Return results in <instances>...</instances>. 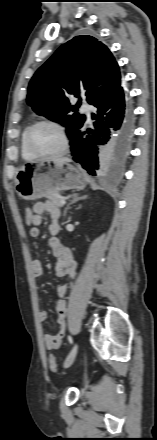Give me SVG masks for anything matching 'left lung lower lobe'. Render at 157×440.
<instances>
[{
  "instance_id": "1",
  "label": "left lung lower lobe",
  "mask_w": 157,
  "mask_h": 440,
  "mask_svg": "<svg viewBox=\"0 0 157 440\" xmlns=\"http://www.w3.org/2000/svg\"><path fill=\"white\" fill-rule=\"evenodd\" d=\"M94 106L93 126L83 124L73 133L70 149L73 160L93 176L118 171L127 156L133 135V109L125 89L120 86Z\"/></svg>"
}]
</instances>
